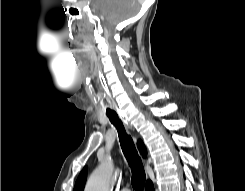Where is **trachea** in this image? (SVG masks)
I'll return each mask as SVG.
<instances>
[{
  "label": "trachea",
  "mask_w": 245,
  "mask_h": 191,
  "mask_svg": "<svg viewBox=\"0 0 245 191\" xmlns=\"http://www.w3.org/2000/svg\"><path fill=\"white\" fill-rule=\"evenodd\" d=\"M106 115L118 131L119 141L124 156L126 157L132 170L133 187L135 191H143L146 176L141 158L138 155L134 142L131 136L127 134L122 121L119 119L117 113L114 110L107 108Z\"/></svg>",
  "instance_id": "trachea-1"
}]
</instances>
